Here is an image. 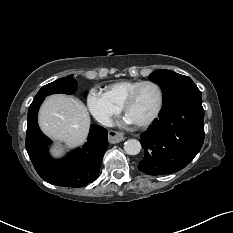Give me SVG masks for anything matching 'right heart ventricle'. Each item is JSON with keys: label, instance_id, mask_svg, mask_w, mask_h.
Here are the masks:
<instances>
[{"label": "right heart ventricle", "instance_id": "1", "mask_svg": "<svg viewBox=\"0 0 233 233\" xmlns=\"http://www.w3.org/2000/svg\"><path fill=\"white\" fill-rule=\"evenodd\" d=\"M141 82L143 81L121 80L108 85L105 93L113 102L122 107L129 93Z\"/></svg>", "mask_w": 233, "mask_h": 233}]
</instances>
